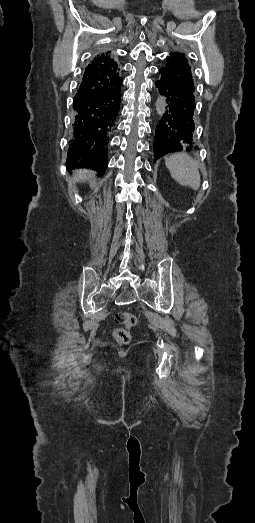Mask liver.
Returning <instances> with one entry per match:
<instances>
[{"instance_id": "6515ba94", "label": "liver", "mask_w": 255, "mask_h": 523, "mask_svg": "<svg viewBox=\"0 0 255 523\" xmlns=\"http://www.w3.org/2000/svg\"><path fill=\"white\" fill-rule=\"evenodd\" d=\"M90 176L89 170H77L74 178H78V180H86Z\"/></svg>"}]
</instances>
